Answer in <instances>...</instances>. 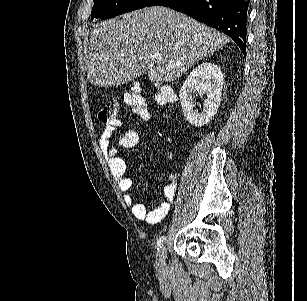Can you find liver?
Returning <instances> with one entry per match:
<instances>
[{
	"instance_id": "obj_1",
	"label": "liver",
	"mask_w": 307,
	"mask_h": 301,
	"mask_svg": "<svg viewBox=\"0 0 307 301\" xmlns=\"http://www.w3.org/2000/svg\"><path fill=\"white\" fill-rule=\"evenodd\" d=\"M119 18L97 22L90 34L86 70L95 86L125 84L141 74L150 82H171L229 42L223 32L167 6H146Z\"/></svg>"
}]
</instances>
